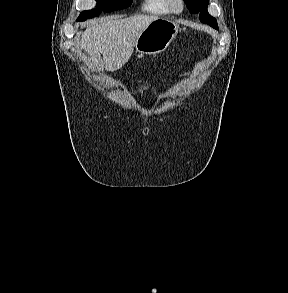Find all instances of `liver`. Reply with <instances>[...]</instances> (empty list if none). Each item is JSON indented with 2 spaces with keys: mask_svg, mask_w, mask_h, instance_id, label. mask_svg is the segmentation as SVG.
<instances>
[{
  "mask_svg": "<svg viewBox=\"0 0 288 293\" xmlns=\"http://www.w3.org/2000/svg\"><path fill=\"white\" fill-rule=\"evenodd\" d=\"M156 19L155 15H135L95 23L82 33L79 46L88 54L93 69L116 71L131 57L140 33Z\"/></svg>",
  "mask_w": 288,
  "mask_h": 293,
  "instance_id": "liver-1",
  "label": "liver"
}]
</instances>
